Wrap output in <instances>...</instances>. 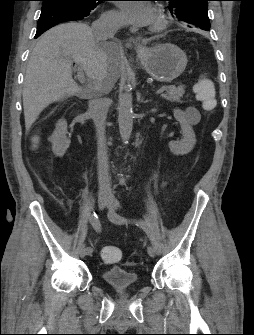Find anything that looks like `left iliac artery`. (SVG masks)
Listing matches in <instances>:
<instances>
[{
    "label": "left iliac artery",
    "instance_id": "obj_1",
    "mask_svg": "<svg viewBox=\"0 0 254 335\" xmlns=\"http://www.w3.org/2000/svg\"><path fill=\"white\" fill-rule=\"evenodd\" d=\"M113 219L117 223H128V222H130L129 218L121 216L117 213L113 214ZM136 225L140 226L145 231V233H146L152 247L155 249L156 253H158V254L161 253L162 252L161 245L157 241V239L155 237V234L153 233L150 226H148L145 222H141V221H136Z\"/></svg>",
    "mask_w": 254,
    "mask_h": 335
}]
</instances>
